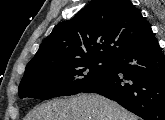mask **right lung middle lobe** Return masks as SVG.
<instances>
[{"label":"right lung middle lobe","instance_id":"dd1d6c3e","mask_svg":"<svg viewBox=\"0 0 165 120\" xmlns=\"http://www.w3.org/2000/svg\"><path fill=\"white\" fill-rule=\"evenodd\" d=\"M113 61L77 58L46 61L26 67L19 85V97L51 99L82 92L91 83L107 76Z\"/></svg>","mask_w":165,"mask_h":120}]
</instances>
